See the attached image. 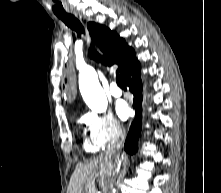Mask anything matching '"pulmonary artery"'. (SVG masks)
I'll use <instances>...</instances> for the list:
<instances>
[{"instance_id":"pulmonary-artery-1","label":"pulmonary artery","mask_w":221,"mask_h":193,"mask_svg":"<svg viewBox=\"0 0 221 193\" xmlns=\"http://www.w3.org/2000/svg\"><path fill=\"white\" fill-rule=\"evenodd\" d=\"M109 90H110V93L115 97H119L122 95V90L117 86L115 82H112L110 84Z\"/></svg>"}]
</instances>
